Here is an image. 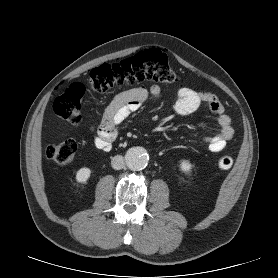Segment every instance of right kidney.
Listing matches in <instances>:
<instances>
[{
    "instance_id": "1",
    "label": "right kidney",
    "mask_w": 278,
    "mask_h": 278,
    "mask_svg": "<svg viewBox=\"0 0 278 278\" xmlns=\"http://www.w3.org/2000/svg\"><path fill=\"white\" fill-rule=\"evenodd\" d=\"M91 170L87 167L79 169L76 173V180L79 183H85L89 179Z\"/></svg>"
}]
</instances>
